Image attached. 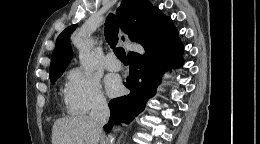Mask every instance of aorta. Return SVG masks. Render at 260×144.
<instances>
[{
    "instance_id": "1",
    "label": "aorta",
    "mask_w": 260,
    "mask_h": 144,
    "mask_svg": "<svg viewBox=\"0 0 260 144\" xmlns=\"http://www.w3.org/2000/svg\"><path fill=\"white\" fill-rule=\"evenodd\" d=\"M93 45L94 40L91 37H78L76 41L81 66L88 73L95 68V58L91 52Z\"/></svg>"
}]
</instances>
